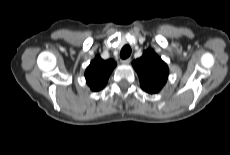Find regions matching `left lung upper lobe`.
<instances>
[{"instance_id":"obj_1","label":"left lung upper lobe","mask_w":230,"mask_h":155,"mask_svg":"<svg viewBox=\"0 0 230 155\" xmlns=\"http://www.w3.org/2000/svg\"><path fill=\"white\" fill-rule=\"evenodd\" d=\"M141 88L147 93H158L168 78L167 64L151 49L144 51L142 57L133 62Z\"/></svg>"}]
</instances>
